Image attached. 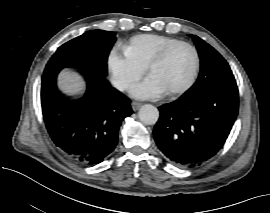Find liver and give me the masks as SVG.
Listing matches in <instances>:
<instances>
[{
    "mask_svg": "<svg viewBox=\"0 0 270 213\" xmlns=\"http://www.w3.org/2000/svg\"><path fill=\"white\" fill-rule=\"evenodd\" d=\"M58 85L64 93L68 94H78L84 89V82L81 77L70 70H64L61 73Z\"/></svg>",
    "mask_w": 270,
    "mask_h": 213,
    "instance_id": "liver-1",
    "label": "liver"
}]
</instances>
